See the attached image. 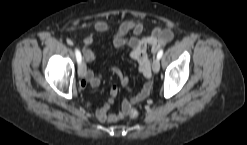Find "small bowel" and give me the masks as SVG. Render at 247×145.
Masks as SVG:
<instances>
[{
    "instance_id": "1",
    "label": "small bowel",
    "mask_w": 247,
    "mask_h": 145,
    "mask_svg": "<svg viewBox=\"0 0 247 145\" xmlns=\"http://www.w3.org/2000/svg\"><path fill=\"white\" fill-rule=\"evenodd\" d=\"M94 30L97 33H105L110 30V26L103 20H98L94 24ZM132 33L131 36L129 34ZM173 39V31L169 28L157 26L152 30L145 32L143 24L135 19H128L122 22L113 35V45L116 48L127 47L130 49V57L137 63L141 74L147 79L142 89L129 99L122 102L121 110L116 113H109L110 108L115 102L118 94L117 86L113 85L109 91V97L102 107L95 110L96 118L101 122H117L124 118L126 110L134 103L143 101L151 92V62L148 54V48L157 52L163 45ZM94 34L85 38L83 47V57L86 62H92L95 59L93 51ZM109 72L116 75L123 87L129 92V77L123 74L120 69L112 67ZM103 74H94L91 70H86V75L80 83V89L85 90L87 85L97 87L100 85Z\"/></svg>"
}]
</instances>
